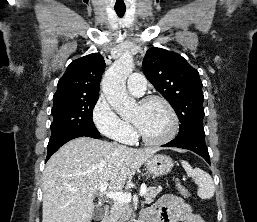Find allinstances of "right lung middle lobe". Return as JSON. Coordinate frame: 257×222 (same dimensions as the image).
<instances>
[{
    "mask_svg": "<svg viewBox=\"0 0 257 222\" xmlns=\"http://www.w3.org/2000/svg\"><path fill=\"white\" fill-rule=\"evenodd\" d=\"M98 97L90 96L54 102L51 110L54 119L50 126L51 137L49 141L73 133L100 135L92 118Z\"/></svg>",
    "mask_w": 257,
    "mask_h": 222,
    "instance_id": "obj_1",
    "label": "right lung middle lobe"
}]
</instances>
